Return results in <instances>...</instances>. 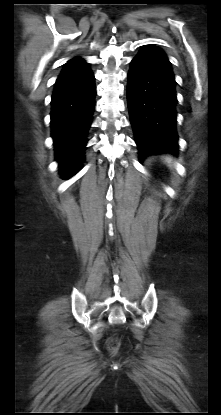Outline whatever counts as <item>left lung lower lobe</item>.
<instances>
[{
	"label": "left lung lower lobe",
	"instance_id": "obj_1",
	"mask_svg": "<svg viewBox=\"0 0 221 415\" xmlns=\"http://www.w3.org/2000/svg\"><path fill=\"white\" fill-rule=\"evenodd\" d=\"M175 84L172 70L151 56L137 55L130 62L127 104L141 161L178 152Z\"/></svg>",
	"mask_w": 221,
	"mask_h": 415
}]
</instances>
